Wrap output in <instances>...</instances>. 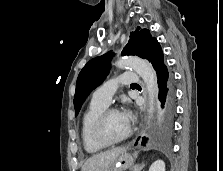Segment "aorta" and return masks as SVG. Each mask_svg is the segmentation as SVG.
<instances>
[{
  "mask_svg": "<svg viewBox=\"0 0 223 171\" xmlns=\"http://www.w3.org/2000/svg\"><path fill=\"white\" fill-rule=\"evenodd\" d=\"M118 68H132L144 81L148 92V124L153 117L155 97L158 93L157 75L153 66L146 60L138 57H124L116 62Z\"/></svg>",
  "mask_w": 223,
  "mask_h": 171,
  "instance_id": "762f6f07",
  "label": "aorta"
}]
</instances>
